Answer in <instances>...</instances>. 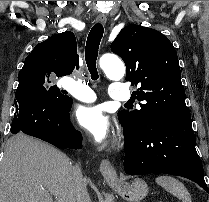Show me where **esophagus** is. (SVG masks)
I'll list each match as a JSON object with an SVG mask.
<instances>
[{
  "instance_id": "obj_1",
  "label": "esophagus",
  "mask_w": 209,
  "mask_h": 202,
  "mask_svg": "<svg viewBox=\"0 0 209 202\" xmlns=\"http://www.w3.org/2000/svg\"><path fill=\"white\" fill-rule=\"evenodd\" d=\"M106 21H107V19H106L105 15L100 14L96 18V22L101 23L103 25L106 24ZM100 172L107 182H112L117 179V172H116L115 168L113 167V165L110 163V161L107 159H103L101 161Z\"/></svg>"
}]
</instances>
